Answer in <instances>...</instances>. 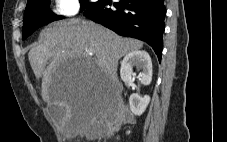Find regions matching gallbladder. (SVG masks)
<instances>
[{"label":"gallbladder","instance_id":"gallbladder-1","mask_svg":"<svg viewBox=\"0 0 227 142\" xmlns=\"http://www.w3.org/2000/svg\"><path fill=\"white\" fill-rule=\"evenodd\" d=\"M48 113L52 119L57 122H60L66 114L65 107L60 105H50L48 107Z\"/></svg>","mask_w":227,"mask_h":142}]
</instances>
